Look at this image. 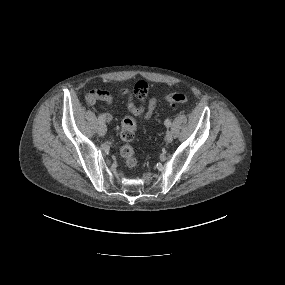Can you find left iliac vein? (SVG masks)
<instances>
[{
	"mask_svg": "<svg viewBox=\"0 0 285 285\" xmlns=\"http://www.w3.org/2000/svg\"><path fill=\"white\" fill-rule=\"evenodd\" d=\"M165 139H166L167 142H172L173 141V134H172V132L168 131L166 133Z\"/></svg>",
	"mask_w": 285,
	"mask_h": 285,
	"instance_id": "4c4485c4",
	"label": "left iliac vein"
}]
</instances>
